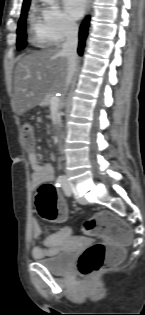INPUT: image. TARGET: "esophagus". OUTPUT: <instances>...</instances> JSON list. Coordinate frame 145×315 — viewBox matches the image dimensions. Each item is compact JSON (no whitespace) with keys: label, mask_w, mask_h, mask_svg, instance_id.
<instances>
[{"label":"esophagus","mask_w":145,"mask_h":315,"mask_svg":"<svg viewBox=\"0 0 145 315\" xmlns=\"http://www.w3.org/2000/svg\"><path fill=\"white\" fill-rule=\"evenodd\" d=\"M91 1H92V0H87V5H86V12H87V13L90 11Z\"/></svg>","instance_id":"esophagus-1"}]
</instances>
